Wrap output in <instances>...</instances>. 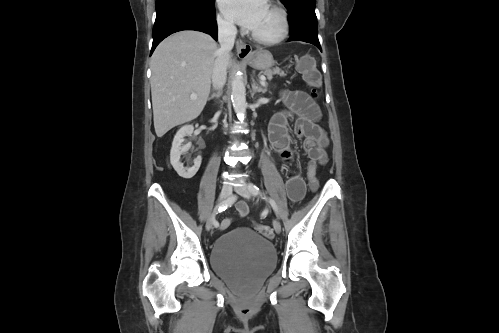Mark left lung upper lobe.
I'll return each mask as SVG.
<instances>
[{
    "mask_svg": "<svg viewBox=\"0 0 499 333\" xmlns=\"http://www.w3.org/2000/svg\"><path fill=\"white\" fill-rule=\"evenodd\" d=\"M287 10L290 12L293 9L300 7H309L315 9L316 0H281Z\"/></svg>",
    "mask_w": 499,
    "mask_h": 333,
    "instance_id": "left-lung-upper-lobe-1",
    "label": "left lung upper lobe"
}]
</instances>
